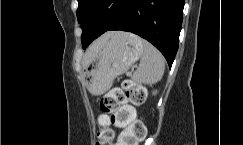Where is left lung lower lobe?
Instances as JSON below:
<instances>
[{"instance_id": "obj_1", "label": "left lung lower lobe", "mask_w": 243, "mask_h": 145, "mask_svg": "<svg viewBox=\"0 0 243 145\" xmlns=\"http://www.w3.org/2000/svg\"><path fill=\"white\" fill-rule=\"evenodd\" d=\"M184 0H124L111 20L86 21L88 34L82 42L85 49L94 39L109 30L135 33L152 43L171 67L178 50Z\"/></svg>"}]
</instances>
